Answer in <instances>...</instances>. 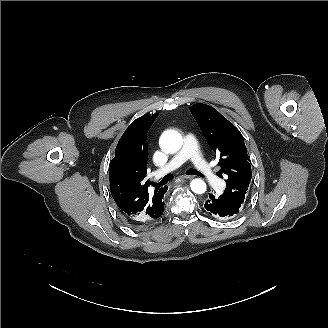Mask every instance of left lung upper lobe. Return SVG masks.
Masks as SVG:
<instances>
[{
    "label": "left lung upper lobe",
    "mask_w": 328,
    "mask_h": 328,
    "mask_svg": "<svg viewBox=\"0 0 328 328\" xmlns=\"http://www.w3.org/2000/svg\"><path fill=\"white\" fill-rule=\"evenodd\" d=\"M190 111L208 144L219 155L221 174L228 176L226 189L220 196L240 208L252 178L251 160L240 131L213 107L198 103Z\"/></svg>",
    "instance_id": "obj_1"
}]
</instances>
